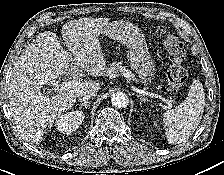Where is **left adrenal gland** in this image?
<instances>
[{"instance_id":"left-adrenal-gland-1","label":"left adrenal gland","mask_w":224,"mask_h":175,"mask_svg":"<svg viewBox=\"0 0 224 175\" xmlns=\"http://www.w3.org/2000/svg\"><path fill=\"white\" fill-rule=\"evenodd\" d=\"M137 97L140 99L141 103H143V102H145L147 100L146 98H143L140 95H137Z\"/></svg>"}]
</instances>
